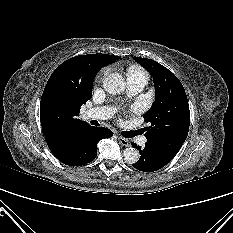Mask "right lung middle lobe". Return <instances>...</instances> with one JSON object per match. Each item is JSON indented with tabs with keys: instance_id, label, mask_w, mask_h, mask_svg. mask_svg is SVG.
Returning <instances> with one entry per match:
<instances>
[{
	"instance_id": "obj_1",
	"label": "right lung middle lobe",
	"mask_w": 233,
	"mask_h": 233,
	"mask_svg": "<svg viewBox=\"0 0 233 233\" xmlns=\"http://www.w3.org/2000/svg\"><path fill=\"white\" fill-rule=\"evenodd\" d=\"M62 113H63V111L58 106H53L51 108V114L53 116H57V115L60 116Z\"/></svg>"
}]
</instances>
